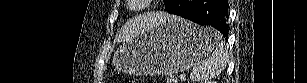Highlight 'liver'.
<instances>
[{
  "mask_svg": "<svg viewBox=\"0 0 307 83\" xmlns=\"http://www.w3.org/2000/svg\"><path fill=\"white\" fill-rule=\"evenodd\" d=\"M172 18L173 16L168 15V14H153V15H148L146 17L136 19L123 26V28L120 30L118 34L117 40L125 41L128 39H132L133 37H136L138 36V34H140L145 24L146 25L157 24L160 22H164L166 20H170Z\"/></svg>",
  "mask_w": 307,
  "mask_h": 83,
  "instance_id": "liver-1",
  "label": "liver"
}]
</instances>
